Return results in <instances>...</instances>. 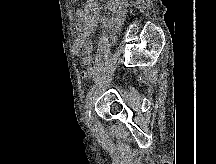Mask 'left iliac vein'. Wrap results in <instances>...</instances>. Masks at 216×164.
<instances>
[{"label":"left iliac vein","instance_id":"4c4485c4","mask_svg":"<svg viewBox=\"0 0 216 164\" xmlns=\"http://www.w3.org/2000/svg\"><path fill=\"white\" fill-rule=\"evenodd\" d=\"M86 122L89 127L95 126L94 118L92 115L86 117Z\"/></svg>","mask_w":216,"mask_h":164}]
</instances>
